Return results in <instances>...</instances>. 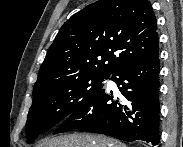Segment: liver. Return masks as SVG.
I'll return each mask as SVG.
<instances>
[{"instance_id":"1","label":"liver","mask_w":183,"mask_h":147,"mask_svg":"<svg viewBox=\"0 0 183 147\" xmlns=\"http://www.w3.org/2000/svg\"><path fill=\"white\" fill-rule=\"evenodd\" d=\"M36 147H126V145L105 136L69 134L44 139Z\"/></svg>"}]
</instances>
